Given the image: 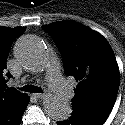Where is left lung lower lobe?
Here are the masks:
<instances>
[{
	"mask_svg": "<svg viewBox=\"0 0 125 125\" xmlns=\"http://www.w3.org/2000/svg\"><path fill=\"white\" fill-rule=\"evenodd\" d=\"M105 120L72 112L69 119L57 121V125H103Z\"/></svg>",
	"mask_w": 125,
	"mask_h": 125,
	"instance_id": "0a47b994",
	"label": "left lung lower lobe"
}]
</instances>
